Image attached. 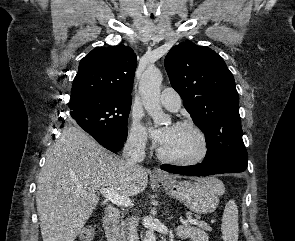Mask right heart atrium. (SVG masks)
<instances>
[{
  "label": "right heart atrium",
  "instance_id": "1",
  "mask_svg": "<svg viewBox=\"0 0 295 241\" xmlns=\"http://www.w3.org/2000/svg\"><path fill=\"white\" fill-rule=\"evenodd\" d=\"M128 142L131 146L139 150H144L147 146L146 131L137 116L132 117L128 132Z\"/></svg>",
  "mask_w": 295,
  "mask_h": 241
}]
</instances>
